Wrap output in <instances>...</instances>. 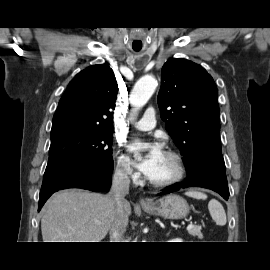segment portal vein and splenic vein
<instances>
[{"instance_id":"18ae733b","label":"portal vein and splenic vein","mask_w":270,"mask_h":270,"mask_svg":"<svg viewBox=\"0 0 270 270\" xmlns=\"http://www.w3.org/2000/svg\"><path fill=\"white\" fill-rule=\"evenodd\" d=\"M191 228H193V224H192V222H191V223H189V225L187 226V230H189V229H191Z\"/></svg>"}]
</instances>
